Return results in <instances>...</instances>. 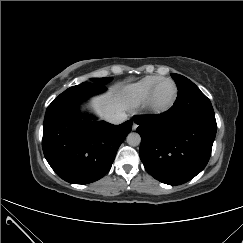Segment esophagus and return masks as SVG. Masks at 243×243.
Segmentation results:
<instances>
[{
    "label": "esophagus",
    "instance_id": "1",
    "mask_svg": "<svg viewBox=\"0 0 243 243\" xmlns=\"http://www.w3.org/2000/svg\"><path fill=\"white\" fill-rule=\"evenodd\" d=\"M137 127H138L137 123H136V122H133L132 129H133V130H136Z\"/></svg>",
    "mask_w": 243,
    "mask_h": 243
}]
</instances>
